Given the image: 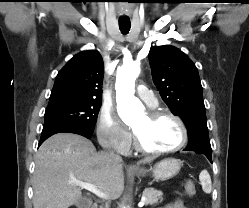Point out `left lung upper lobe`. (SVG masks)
<instances>
[{
  "mask_svg": "<svg viewBox=\"0 0 249 208\" xmlns=\"http://www.w3.org/2000/svg\"><path fill=\"white\" fill-rule=\"evenodd\" d=\"M153 82L173 114L184 122L189 142L209 141L199 74L181 50L164 45L149 53Z\"/></svg>",
  "mask_w": 249,
  "mask_h": 208,
  "instance_id": "5c2ea615",
  "label": "left lung upper lobe"
}]
</instances>
